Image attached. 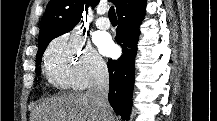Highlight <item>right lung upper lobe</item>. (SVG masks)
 <instances>
[{"instance_id":"right-lung-upper-lobe-1","label":"right lung upper lobe","mask_w":217,"mask_h":121,"mask_svg":"<svg viewBox=\"0 0 217 121\" xmlns=\"http://www.w3.org/2000/svg\"><path fill=\"white\" fill-rule=\"evenodd\" d=\"M111 1L117 12L125 3V0ZM98 2L99 0H50L40 23L39 48L72 30L82 19L83 12L87 14L89 5L94 8Z\"/></svg>"}]
</instances>
